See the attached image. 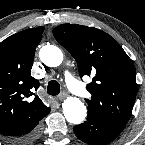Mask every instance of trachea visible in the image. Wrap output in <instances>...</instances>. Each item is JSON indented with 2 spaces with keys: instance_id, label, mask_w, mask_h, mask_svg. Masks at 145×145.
<instances>
[{
  "instance_id": "1",
  "label": "trachea",
  "mask_w": 145,
  "mask_h": 145,
  "mask_svg": "<svg viewBox=\"0 0 145 145\" xmlns=\"http://www.w3.org/2000/svg\"><path fill=\"white\" fill-rule=\"evenodd\" d=\"M47 93L51 96L58 95L60 93V84L55 80L49 81L47 86Z\"/></svg>"
}]
</instances>
